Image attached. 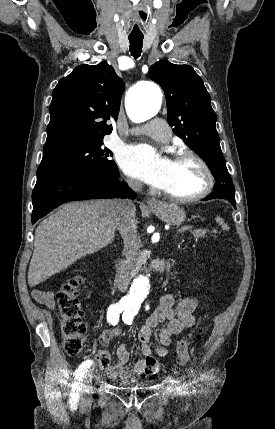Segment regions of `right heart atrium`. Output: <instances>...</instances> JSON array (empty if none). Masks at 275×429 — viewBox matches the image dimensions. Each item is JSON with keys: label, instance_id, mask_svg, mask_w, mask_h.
<instances>
[{"label": "right heart atrium", "instance_id": "right-heart-atrium-1", "mask_svg": "<svg viewBox=\"0 0 275 429\" xmlns=\"http://www.w3.org/2000/svg\"><path fill=\"white\" fill-rule=\"evenodd\" d=\"M127 183L130 187L132 188H139L140 184L138 181H136L135 179L132 178H127Z\"/></svg>", "mask_w": 275, "mask_h": 429}]
</instances>
